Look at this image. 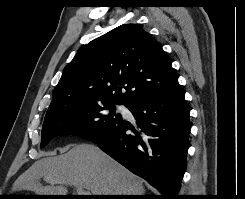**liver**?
Here are the masks:
<instances>
[{"label":"liver","mask_w":245,"mask_h":199,"mask_svg":"<svg viewBox=\"0 0 245 199\" xmlns=\"http://www.w3.org/2000/svg\"><path fill=\"white\" fill-rule=\"evenodd\" d=\"M50 183L42 186L39 182ZM80 186L91 195H142L143 181L98 147L82 143L60 156L36 161L14 183L13 190L37 195H66V186Z\"/></svg>","instance_id":"6515ba94"}]
</instances>
